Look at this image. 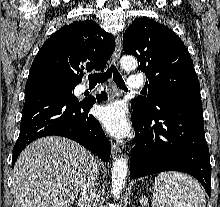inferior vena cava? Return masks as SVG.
<instances>
[{
    "instance_id": "602c4592",
    "label": "inferior vena cava",
    "mask_w": 220,
    "mask_h": 207,
    "mask_svg": "<svg viewBox=\"0 0 220 207\" xmlns=\"http://www.w3.org/2000/svg\"><path fill=\"white\" fill-rule=\"evenodd\" d=\"M97 177L98 168L94 163L90 169L82 176L79 187H80V197L79 204L80 207H93L95 206V197L97 191Z\"/></svg>"
}]
</instances>
